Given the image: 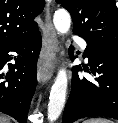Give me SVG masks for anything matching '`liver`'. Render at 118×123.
Here are the masks:
<instances>
[{"label": "liver", "instance_id": "6515ba94", "mask_svg": "<svg viewBox=\"0 0 118 123\" xmlns=\"http://www.w3.org/2000/svg\"><path fill=\"white\" fill-rule=\"evenodd\" d=\"M0 123H10V120L6 116L0 114Z\"/></svg>", "mask_w": 118, "mask_h": 123}]
</instances>
